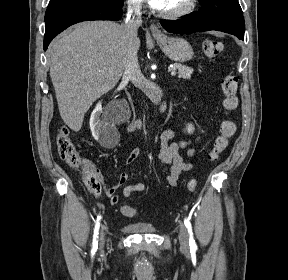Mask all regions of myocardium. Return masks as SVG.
I'll return each mask as SVG.
<instances>
[{"label": "myocardium", "instance_id": "obj_1", "mask_svg": "<svg viewBox=\"0 0 288 280\" xmlns=\"http://www.w3.org/2000/svg\"><path fill=\"white\" fill-rule=\"evenodd\" d=\"M197 2L198 0H188L183 8L172 12L161 11L160 15L167 19H179L185 17L195 10Z\"/></svg>", "mask_w": 288, "mask_h": 280}]
</instances>
